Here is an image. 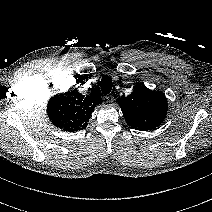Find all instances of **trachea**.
Returning a JSON list of instances; mask_svg holds the SVG:
<instances>
[{"label": "trachea", "mask_w": 212, "mask_h": 212, "mask_svg": "<svg viewBox=\"0 0 212 212\" xmlns=\"http://www.w3.org/2000/svg\"><path fill=\"white\" fill-rule=\"evenodd\" d=\"M101 91L104 94H108L112 90V80L109 76H104L100 82Z\"/></svg>", "instance_id": "1"}]
</instances>
